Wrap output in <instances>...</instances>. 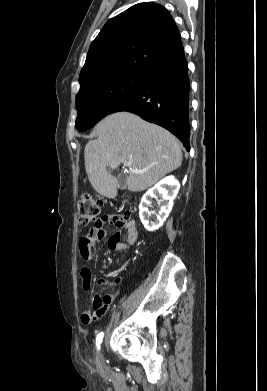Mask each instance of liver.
Listing matches in <instances>:
<instances>
[{"instance_id": "liver-1", "label": "liver", "mask_w": 267, "mask_h": 391, "mask_svg": "<svg viewBox=\"0 0 267 391\" xmlns=\"http://www.w3.org/2000/svg\"><path fill=\"white\" fill-rule=\"evenodd\" d=\"M95 131L98 138L85 146V168L91 186L102 196L114 198L117 193V178L107 171L108 167L129 162V168L142 170L130 171L126 178L128 189L137 192L181 166L178 139L133 113L110 114L96 125Z\"/></svg>"}]
</instances>
